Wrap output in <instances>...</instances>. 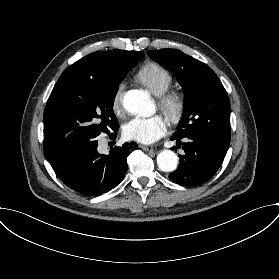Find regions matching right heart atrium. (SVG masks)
Returning a JSON list of instances; mask_svg holds the SVG:
<instances>
[{
    "instance_id": "right-heart-atrium-1",
    "label": "right heart atrium",
    "mask_w": 279,
    "mask_h": 279,
    "mask_svg": "<svg viewBox=\"0 0 279 279\" xmlns=\"http://www.w3.org/2000/svg\"><path fill=\"white\" fill-rule=\"evenodd\" d=\"M124 88H125L124 83L119 84L112 96L111 109L116 115H119L121 111V99H122Z\"/></svg>"
}]
</instances>
